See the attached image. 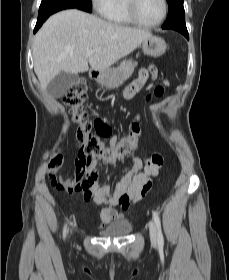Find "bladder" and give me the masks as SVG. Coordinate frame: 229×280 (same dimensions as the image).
I'll list each match as a JSON object with an SVG mask.
<instances>
[{
	"label": "bladder",
	"mask_w": 229,
	"mask_h": 280,
	"mask_svg": "<svg viewBox=\"0 0 229 280\" xmlns=\"http://www.w3.org/2000/svg\"><path fill=\"white\" fill-rule=\"evenodd\" d=\"M133 230L132 222L129 220H122L104 231L100 232L101 235L110 237H120L129 234Z\"/></svg>",
	"instance_id": "obj_1"
}]
</instances>
